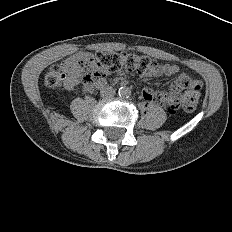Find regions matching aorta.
<instances>
[{
	"mask_svg": "<svg viewBox=\"0 0 232 232\" xmlns=\"http://www.w3.org/2000/svg\"><path fill=\"white\" fill-rule=\"evenodd\" d=\"M118 93L121 97H129L131 96V89L127 86H122L119 88Z\"/></svg>",
	"mask_w": 232,
	"mask_h": 232,
	"instance_id": "aorta-1",
	"label": "aorta"
}]
</instances>
